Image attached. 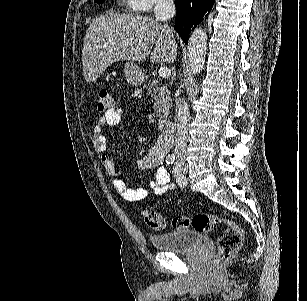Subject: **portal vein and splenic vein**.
<instances>
[{
  "label": "portal vein and splenic vein",
  "instance_id": "18ae733b",
  "mask_svg": "<svg viewBox=\"0 0 307 301\" xmlns=\"http://www.w3.org/2000/svg\"><path fill=\"white\" fill-rule=\"evenodd\" d=\"M170 74H171L170 68H167V66H160L159 76H162V78H169Z\"/></svg>",
  "mask_w": 307,
  "mask_h": 301
}]
</instances>
